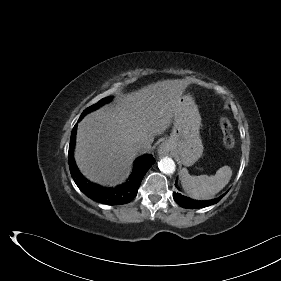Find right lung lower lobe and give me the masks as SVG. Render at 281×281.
Returning a JSON list of instances; mask_svg holds the SVG:
<instances>
[{
    "instance_id": "98d812e1",
    "label": "right lung lower lobe",
    "mask_w": 281,
    "mask_h": 281,
    "mask_svg": "<svg viewBox=\"0 0 281 281\" xmlns=\"http://www.w3.org/2000/svg\"><path fill=\"white\" fill-rule=\"evenodd\" d=\"M83 117L84 116L81 115L78 121H80ZM76 130L77 124L74 126L71 133L68 163L71 175L78 188L90 199L103 204L119 205L129 203L137 195L138 188L145 173L155 163L153 156L151 154H147L138 158L135 163L134 171L125 184L116 188H103L84 178L75 165L73 150L75 146Z\"/></svg>"
}]
</instances>
